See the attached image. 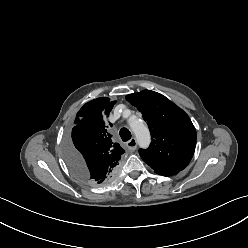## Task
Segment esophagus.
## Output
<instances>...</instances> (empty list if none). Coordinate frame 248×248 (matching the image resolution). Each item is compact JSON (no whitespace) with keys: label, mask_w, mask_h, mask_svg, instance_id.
<instances>
[{"label":"esophagus","mask_w":248,"mask_h":248,"mask_svg":"<svg viewBox=\"0 0 248 248\" xmlns=\"http://www.w3.org/2000/svg\"><path fill=\"white\" fill-rule=\"evenodd\" d=\"M127 148L130 151H134L137 148V140L135 138H131L127 143H126Z\"/></svg>","instance_id":"obj_1"}]
</instances>
